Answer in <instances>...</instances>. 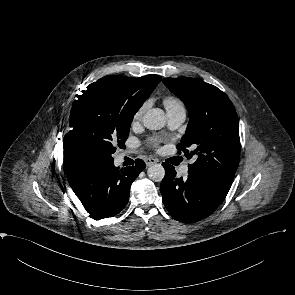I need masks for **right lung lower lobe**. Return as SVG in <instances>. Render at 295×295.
Segmentation results:
<instances>
[{
    "label": "right lung lower lobe",
    "mask_w": 295,
    "mask_h": 295,
    "mask_svg": "<svg viewBox=\"0 0 295 295\" xmlns=\"http://www.w3.org/2000/svg\"><path fill=\"white\" fill-rule=\"evenodd\" d=\"M144 168L141 159L121 169L114 166V160L83 164L68 182L89 216L99 220L117 215L126 207L130 186Z\"/></svg>",
    "instance_id": "1"
}]
</instances>
